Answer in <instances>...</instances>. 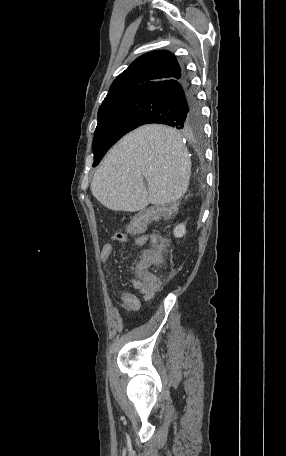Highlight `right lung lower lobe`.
<instances>
[{
	"label": "right lung lower lobe",
	"mask_w": 286,
	"mask_h": 456,
	"mask_svg": "<svg viewBox=\"0 0 286 456\" xmlns=\"http://www.w3.org/2000/svg\"><path fill=\"white\" fill-rule=\"evenodd\" d=\"M134 106L137 127L160 123L185 133L201 127V112L187 75L155 83L128 96Z\"/></svg>",
	"instance_id": "obj_1"
}]
</instances>
